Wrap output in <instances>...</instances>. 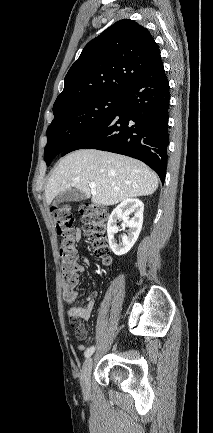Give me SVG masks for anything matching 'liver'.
Returning <instances> with one entry per match:
<instances>
[{
	"label": "liver",
	"instance_id": "6515ba94",
	"mask_svg": "<svg viewBox=\"0 0 213 433\" xmlns=\"http://www.w3.org/2000/svg\"><path fill=\"white\" fill-rule=\"evenodd\" d=\"M96 183L91 190L89 183ZM158 176L143 162L124 155L81 149L64 157L53 171L46 189L51 204L61 192L76 188L97 205L111 206L126 199L153 194Z\"/></svg>",
	"mask_w": 213,
	"mask_h": 433
}]
</instances>
